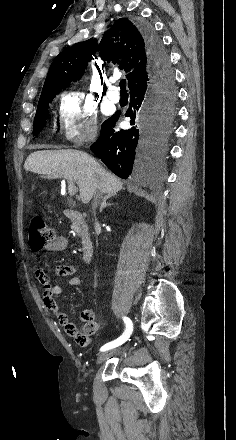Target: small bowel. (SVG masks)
Masks as SVG:
<instances>
[{"label":"small bowel","instance_id":"1","mask_svg":"<svg viewBox=\"0 0 236 440\" xmlns=\"http://www.w3.org/2000/svg\"><path fill=\"white\" fill-rule=\"evenodd\" d=\"M68 245V237L64 235H58L43 249L38 250L36 261H40L43 251L59 252L65 250ZM75 272V268L72 265L67 264L59 265L55 269L56 276L69 277L65 283V286L68 287H77L81 284V279L75 275ZM35 276L39 283L44 287V293L42 297L44 307L56 316L58 323L64 327L68 335L75 338L76 342L79 345H89L91 341V336L94 334L98 327V324L94 321V312L91 309H85L82 312L81 318L83 321H80V329H78L72 322H69L67 316L61 311L58 303L54 299V296L59 295L63 292L64 286L53 284L50 277L40 266H37L35 268Z\"/></svg>","mask_w":236,"mask_h":440}]
</instances>
